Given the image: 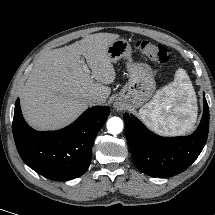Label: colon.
I'll return each mask as SVG.
<instances>
[{
    "label": "colon",
    "mask_w": 215,
    "mask_h": 215,
    "mask_svg": "<svg viewBox=\"0 0 215 215\" xmlns=\"http://www.w3.org/2000/svg\"><path fill=\"white\" fill-rule=\"evenodd\" d=\"M135 48L142 55L159 64H166L170 61L171 58V52L167 47L161 44L150 42L148 40L137 41Z\"/></svg>",
    "instance_id": "colon-1"
}]
</instances>
